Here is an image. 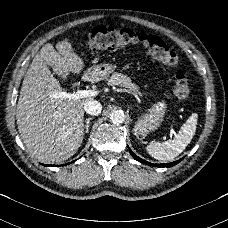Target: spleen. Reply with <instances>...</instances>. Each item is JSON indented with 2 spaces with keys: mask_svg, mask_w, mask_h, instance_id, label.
<instances>
[{
  "mask_svg": "<svg viewBox=\"0 0 228 228\" xmlns=\"http://www.w3.org/2000/svg\"><path fill=\"white\" fill-rule=\"evenodd\" d=\"M197 114H192L181 126L178 134L163 144L151 143L146 146L148 154L160 161H171L182 153L191 142L196 130Z\"/></svg>",
  "mask_w": 228,
  "mask_h": 228,
  "instance_id": "spleen-1",
  "label": "spleen"
}]
</instances>
